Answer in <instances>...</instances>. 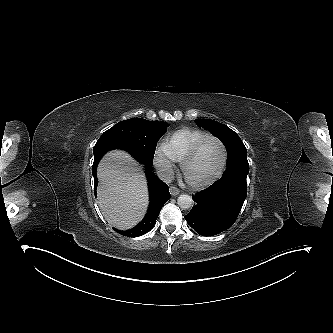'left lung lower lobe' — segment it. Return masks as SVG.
Here are the masks:
<instances>
[{
    "label": "left lung lower lobe",
    "mask_w": 333,
    "mask_h": 333,
    "mask_svg": "<svg viewBox=\"0 0 333 333\" xmlns=\"http://www.w3.org/2000/svg\"><path fill=\"white\" fill-rule=\"evenodd\" d=\"M246 196V181L219 179L193 196L197 204L184 218L202 236L219 234L234 224Z\"/></svg>",
    "instance_id": "left-lung-lower-lobe-1"
}]
</instances>
